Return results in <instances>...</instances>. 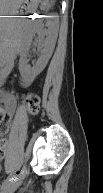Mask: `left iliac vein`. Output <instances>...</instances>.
I'll return each instance as SVG.
<instances>
[{"label": "left iliac vein", "instance_id": "4c4485c4", "mask_svg": "<svg viewBox=\"0 0 103 193\" xmlns=\"http://www.w3.org/2000/svg\"><path fill=\"white\" fill-rule=\"evenodd\" d=\"M27 172V169L24 167V169L22 170L19 179L16 182H13L10 186H9V193L12 192L13 189H16L22 182V179L25 177V174Z\"/></svg>", "mask_w": 103, "mask_h": 193}]
</instances>
